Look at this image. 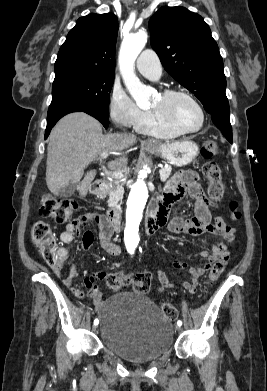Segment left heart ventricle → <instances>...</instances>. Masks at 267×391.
Wrapping results in <instances>:
<instances>
[{
  "label": "left heart ventricle",
  "instance_id": "b2bd125f",
  "mask_svg": "<svg viewBox=\"0 0 267 391\" xmlns=\"http://www.w3.org/2000/svg\"><path fill=\"white\" fill-rule=\"evenodd\" d=\"M152 108L160 109L170 120L184 129H195L200 124V113L186 97L175 95L164 100L158 96Z\"/></svg>",
  "mask_w": 267,
  "mask_h": 391
}]
</instances>
